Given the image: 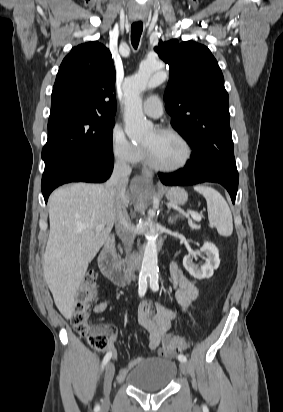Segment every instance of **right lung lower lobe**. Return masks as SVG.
Listing matches in <instances>:
<instances>
[{"label": "right lung lower lobe", "instance_id": "right-lung-lower-lobe-1", "mask_svg": "<svg viewBox=\"0 0 283 412\" xmlns=\"http://www.w3.org/2000/svg\"><path fill=\"white\" fill-rule=\"evenodd\" d=\"M113 169V158L62 155L45 161L41 189L47 203L50 193L69 182H104Z\"/></svg>", "mask_w": 283, "mask_h": 412}]
</instances>
